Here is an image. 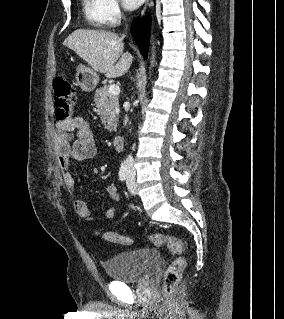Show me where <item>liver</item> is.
Instances as JSON below:
<instances>
[{
	"label": "liver",
	"instance_id": "liver-1",
	"mask_svg": "<svg viewBox=\"0 0 284 319\" xmlns=\"http://www.w3.org/2000/svg\"><path fill=\"white\" fill-rule=\"evenodd\" d=\"M63 45L107 78L124 75L133 61L131 53H123L122 38L111 31L77 29L65 39Z\"/></svg>",
	"mask_w": 284,
	"mask_h": 319
}]
</instances>
